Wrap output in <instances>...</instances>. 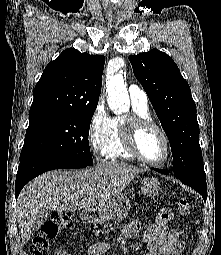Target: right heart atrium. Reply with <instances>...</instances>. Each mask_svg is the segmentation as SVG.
<instances>
[{"label": "right heart atrium", "instance_id": "obj_1", "mask_svg": "<svg viewBox=\"0 0 221 255\" xmlns=\"http://www.w3.org/2000/svg\"><path fill=\"white\" fill-rule=\"evenodd\" d=\"M112 121L103 103H99L91 115L87 128L90 148L97 155L103 154V147L111 130Z\"/></svg>", "mask_w": 221, "mask_h": 255}]
</instances>
